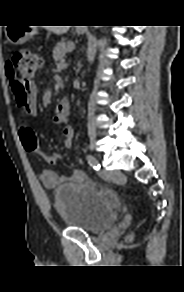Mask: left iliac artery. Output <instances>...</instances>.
I'll list each match as a JSON object with an SVG mask.
<instances>
[{
    "label": "left iliac artery",
    "instance_id": "left-iliac-artery-1",
    "mask_svg": "<svg viewBox=\"0 0 184 292\" xmlns=\"http://www.w3.org/2000/svg\"><path fill=\"white\" fill-rule=\"evenodd\" d=\"M87 161L94 170L98 171L100 169V164L94 156L87 155Z\"/></svg>",
    "mask_w": 184,
    "mask_h": 292
}]
</instances>
